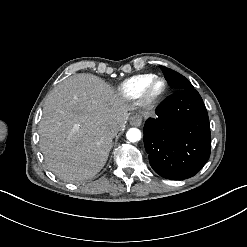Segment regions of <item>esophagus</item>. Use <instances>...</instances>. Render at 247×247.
I'll use <instances>...</instances> for the list:
<instances>
[{"label": "esophagus", "mask_w": 247, "mask_h": 247, "mask_svg": "<svg viewBox=\"0 0 247 247\" xmlns=\"http://www.w3.org/2000/svg\"><path fill=\"white\" fill-rule=\"evenodd\" d=\"M129 123L132 126L139 127L142 123V117L139 114H135L129 118Z\"/></svg>", "instance_id": "1"}]
</instances>
